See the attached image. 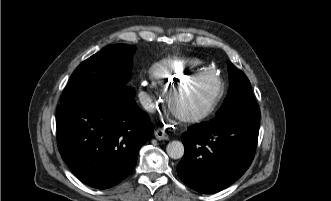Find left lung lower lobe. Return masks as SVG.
<instances>
[{
    "mask_svg": "<svg viewBox=\"0 0 331 201\" xmlns=\"http://www.w3.org/2000/svg\"><path fill=\"white\" fill-rule=\"evenodd\" d=\"M258 108L233 111L195 124L182 134L185 154L177 166L190 188L209 194L239 179L253 161L259 134Z\"/></svg>",
    "mask_w": 331,
    "mask_h": 201,
    "instance_id": "0a47b994",
    "label": "left lung lower lobe"
}]
</instances>
